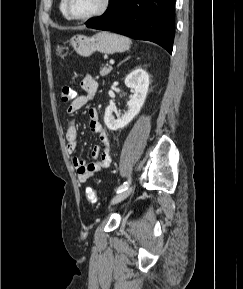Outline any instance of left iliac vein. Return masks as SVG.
<instances>
[{
	"label": "left iliac vein",
	"instance_id": "left-iliac-vein-1",
	"mask_svg": "<svg viewBox=\"0 0 243 289\" xmlns=\"http://www.w3.org/2000/svg\"><path fill=\"white\" fill-rule=\"evenodd\" d=\"M133 189H134V186H130L126 190L115 195L113 199L111 200V204L114 205L126 199L132 193Z\"/></svg>",
	"mask_w": 243,
	"mask_h": 289
}]
</instances>
